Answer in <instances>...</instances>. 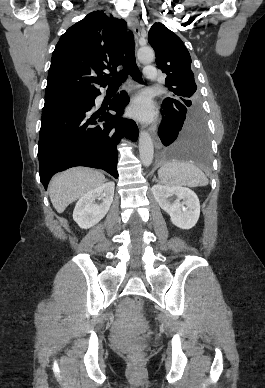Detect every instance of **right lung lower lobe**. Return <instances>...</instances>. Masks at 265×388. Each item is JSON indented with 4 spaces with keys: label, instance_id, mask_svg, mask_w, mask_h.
Segmentation results:
<instances>
[{
    "label": "right lung lower lobe",
    "instance_id": "right-lung-lower-lobe-1",
    "mask_svg": "<svg viewBox=\"0 0 265 388\" xmlns=\"http://www.w3.org/2000/svg\"><path fill=\"white\" fill-rule=\"evenodd\" d=\"M99 94L43 110L38 159L45 189L56 172L74 166L103 169L118 178L116 146L122 136L135 141L138 127L133 120L119 119L129 102L126 92L117 94L105 110L94 111Z\"/></svg>",
    "mask_w": 265,
    "mask_h": 388
}]
</instances>
